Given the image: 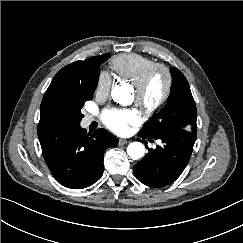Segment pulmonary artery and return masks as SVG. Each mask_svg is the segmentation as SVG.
<instances>
[{
    "label": "pulmonary artery",
    "instance_id": "obj_1",
    "mask_svg": "<svg viewBox=\"0 0 243 243\" xmlns=\"http://www.w3.org/2000/svg\"><path fill=\"white\" fill-rule=\"evenodd\" d=\"M92 120H93L92 116H86L85 119H84V124L88 125V124L91 123Z\"/></svg>",
    "mask_w": 243,
    "mask_h": 243
}]
</instances>
